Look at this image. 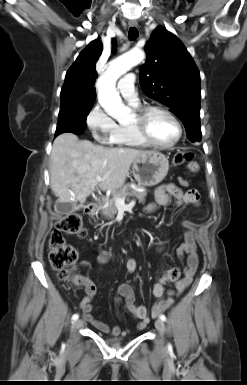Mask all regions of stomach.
Returning <instances> with one entry per match:
<instances>
[{"instance_id": "1", "label": "stomach", "mask_w": 247, "mask_h": 385, "mask_svg": "<svg viewBox=\"0 0 247 385\" xmlns=\"http://www.w3.org/2000/svg\"><path fill=\"white\" fill-rule=\"evenodd\" d=\"M169 161L158 151H146L132 163V174L140 186H155L167 175Z\"/></svg>"}]
</instances>
